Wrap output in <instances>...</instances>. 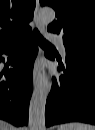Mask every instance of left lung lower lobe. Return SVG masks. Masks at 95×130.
Returning <instances> with one entry per match:
<instances>
[{
  "instance_id": "0a47b994",
  "label": "left lung lower lobe",
  "mask_w": 95,
  "mask_h": 130,
  "mask_svg": "<svg viewBox=\"0 0 95 130\" xmlns=\"http://www.w3.org/2000/svg\"><path fill=\"white\" fill-rule=\"evenodd\" d=\"M65 48L66 68L62 62L58 68L65 74L53 80L46 101V126L72 121L95 124V55Z\"/></svg>"
}]
</instances>
